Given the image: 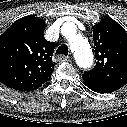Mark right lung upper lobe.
<instances>
[{
  "mask_svg": "<svg viewBox=\"0 0 127 127\" xmlns=\"http://www.w3.org/2000/svg\"><path fill=\"white\" fill-rule=\"evenodd\" d=\"M45 21L25 16L0 36V82L9 88L33 91L50 80L56 44L45 40Z\"/></svg>",
  "mask_w": 127,
  "mask_h": 127,
  "instance_id": "1",
  "label": "right lung upper lobe"
}]
</instances>
